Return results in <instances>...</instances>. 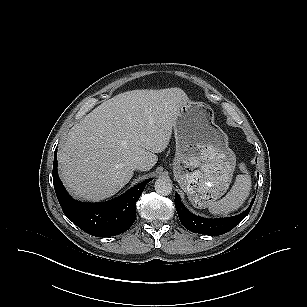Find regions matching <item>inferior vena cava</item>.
<instances>
[{"mask_svg":"<svg viewBox=\"0 0 307 307\" xmlns=\"http://www.w3.org/2000/svg\"><path fill=\"white\" fill-rule=\"evenodd\" d=\"M131 168L137 169V170H143L144 169V163L142 161H135L130 164Z\"/></svg>","mask_w":307,"mask_h":307,"instance_id":"obj_1","label":"inferior vena cava"}]
</instances>
